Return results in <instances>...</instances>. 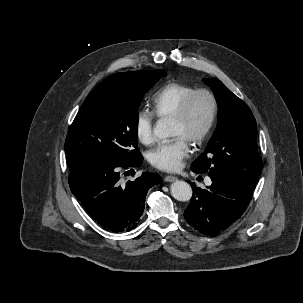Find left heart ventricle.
<instances>
[{"mask_svg":"<svg viewBox=\"0 0 303 303\" xmlns=\"http://www.w3.org/2000/svg\"><path fill=\"white\" fill-rule=\"evenodd\" d=\"M211 110L210 100L205 95H199L193 102L185 121L172 120V135L182 136L187 141L192 140L204 128Z\"/></svg>","mask_w":303,"mask_h":303,"instance_id":"left-heart-ventricle-1","label":"left heart ventricle"}]
</instances>
